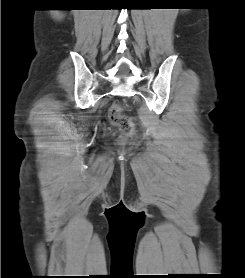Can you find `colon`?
<instances>
[{"label":"colon","instance_id":"5ec220e1","mask_svg":"<svg viewBox=\"0 0 245 278\" xmlns=\"http://www.w3.org/2000/svg\"><path fill=\"white\" fill-rule=\"evenodd\" d=\"M126 105L118 103L111 107L109 111V117L111 122L124 131L125 134H129L133 130V122L129 116L124 114Z\"/></svg>","mask_w":245,"mask_h":278}]
</instances>
